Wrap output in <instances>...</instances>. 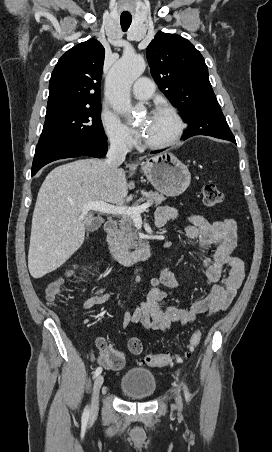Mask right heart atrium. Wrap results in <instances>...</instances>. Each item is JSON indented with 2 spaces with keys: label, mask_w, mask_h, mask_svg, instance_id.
<instances>
[{
  "label": "right heart atrium",
  "mask_w": 272,
  "mask_h": 452,
  "mask_svg": "<svg viewBox=\"0 0 272 452\" xmlns=\"http://www.w3.org/2000/svg\"><path fill=\"white\" fill-rule=\"evenodd\" d=\"M101 127L109 142L123 149L131 148L135 139L131 130L115 115L102 112Z\"/></svg>",
  "instance_id": "right-heart-atrium-1"
}]
</instances>
